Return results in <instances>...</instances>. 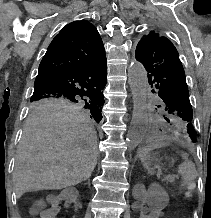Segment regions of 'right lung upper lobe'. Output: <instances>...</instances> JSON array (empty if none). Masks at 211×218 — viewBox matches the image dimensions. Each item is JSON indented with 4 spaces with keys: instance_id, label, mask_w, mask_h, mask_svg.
Returning <instances> with one entry per match:
<instances>
[{
    "instance_id": "cb5924a9",
    "label": "right lung upper lobe",
    "mask_w": 211,
    "mask_h": 218,
    "mask_svg": "<svg viewBox=\"0 0 211 218\" xmlns=\"http://www.w3.org/2000/svg\"><path fill=\"white\" fill-rule=\"evenodd\" d=\"M105 57L104 45L97 29L86 20L71 22L49 45L39 65L35 85Z\"/></svg>"
}]
</instances>
